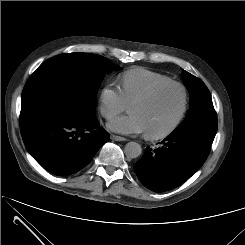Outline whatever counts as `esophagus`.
I'll list each match as a JSON object with an SVG mask.
<instances>
[{
    "instance_id": "obj_1",
    "label": "esophagus",
    "mask_w": 245,
    "mask_h": 245,
    "mask_svg": "<svg viewBox=\"0 0 245 245\" xmlns=\"http://www.w3.org/2000/svg\"><path fill=\"white\" fill-rule=\"evenodd\" d=\"M110 138L115 141H126L127 139L118 135H110Z\"/></svg>"
}]
</instances>
